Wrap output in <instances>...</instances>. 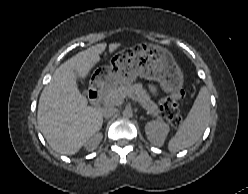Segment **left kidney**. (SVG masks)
Instances as JSON below:
<instances>
[{"instance_id":"5707ae66","label":"left kidney","mask_w":248,"mask_h":194,"mask_svg":"<svg viewBox=\"0 0 248 194\" xmlns=\"http://www.w3.org/2000/svg\"><path fill=\"white\" fill-rule=\"evenodd\" d=\"M148 140L155 146H162L169 133V126L161 121H150L145 126Z\"/></svg>"}]
</instances>
